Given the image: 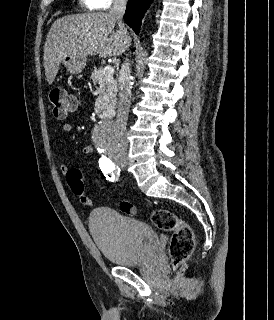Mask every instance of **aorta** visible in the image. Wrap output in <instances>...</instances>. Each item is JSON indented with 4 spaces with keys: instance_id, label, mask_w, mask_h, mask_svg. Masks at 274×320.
<instances>
[{
    "instance_id": "obj_1",
    "label": "aorta",
    "mask_w": 274,
    "mask_h": 320,
    "mask_svg": "<svg viewBox=\"0 0 274 320\" xmlns=\"http://www.w3.org/2000/svg\"><path fill=\"white\" fill-rule=\"evenodd\" d=\"M120 125L116 123L103 122L95 131V140L101 148L115 146L119 138Z\"/></svg>"
}]
</instances>
